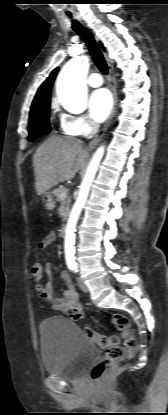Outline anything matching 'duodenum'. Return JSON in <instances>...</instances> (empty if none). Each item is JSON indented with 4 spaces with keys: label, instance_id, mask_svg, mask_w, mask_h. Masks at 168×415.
Instances as JSON below:
<instances>
[{
    "label": "duodenum",
    "instance_id": "1",
    "mask_svg": "<svg viewBox=\"0 0 168 415\" xmlns=\"http://www.w3.org/2000/svg\"><path fill=\"white\" fill-rule=\"evenodd\" d=\"M66 232H67V225L63 224L62 227L60 228V234L64 236Z\"/></svg>",
    "mask_w": 168,
    "mask_h": 415
}]
</instances>
